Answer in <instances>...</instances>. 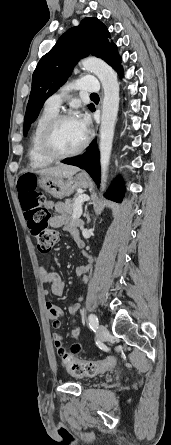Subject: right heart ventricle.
Instances as JSON below:
<instances>
[{
	"label": "right heart ventricle",
	"instance_id": "1",
	"mask_svg": "<svg viewBox=\"0 0 171 445\" xmlns=\"http://www.w3.org/2000/svg\"><path fill=\"white\" fill-rule=\"evenodd\" d=\"M55 115H57V110L45 106L35 123L28 152L30 164L35 168L44 167L52 162L42 155L40 151V138L44 127Z\"/></svg>",
	"mask_w": 171,
	"mask_h": 445
}]
</instances>
